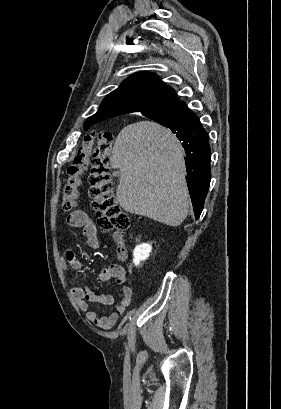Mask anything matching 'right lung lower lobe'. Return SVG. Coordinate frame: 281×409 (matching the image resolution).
Segmentation results:
<instances>
[{
    "instance_id": "98d812e1",
    "label": "right lung lower lobe",
    "mask_w": 281,
    "mask_h": 409,
    "mask_svg": "<svg viewBox=\"0 0 281 409\" xmlns=\"http://www.w3.org/2000/svg\"><path fill=\"white\" fill-rule=\"evenodd\" d=\"M142 114L150 119L174 116L178 121L168 128L182 142L186 152L185 161L189 192L193 204L195 218L198 219L203 210L205 197L211 180L210 145L207 132L199 118L188 109L185 102H178L158 110H148Z\"/></svg>"
}]
</instances>
